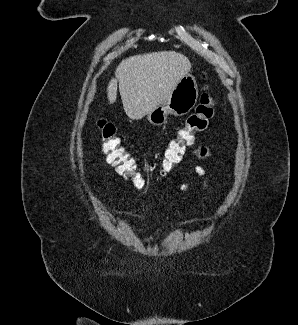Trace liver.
Instances as JSON below:
<instances>
[{"mask_svg": "<svg viewBox=\"0 0 298 325\" xmlns=\"http://www.w3.org/2000/svg\"><path fill=\"white\" fill-rule=\"evenodd\" d=\"M192 68L191 60L176 50H156L134 54L119 62L107 86L109 104L119 92L124 110L132 120H139L163 104L182 76Z\"/></svg>", "mask_w": 298, "mask_h": 325, "instance_id": "1", "label": "liver"}]
</instances>
